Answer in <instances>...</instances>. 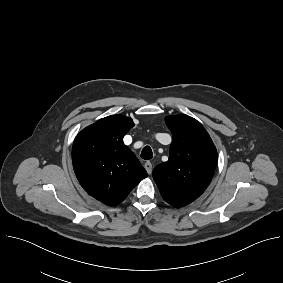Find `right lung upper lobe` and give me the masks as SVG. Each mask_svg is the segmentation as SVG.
<instances>
[{"label": "right lung upper lobe", "instance_id": "obj_1", "mask_svg": "<svg viewBox=\"0 0 283 283\" xmlns=\"http://www.w3.org/2000/svg\"><path fill=\"white\" fill-rule=\"evenodd\" d=\"M131 118L112 115L83 129L75 138L72 161L83 189L106 205L121 203L147 172L123 143Z\"/></svg>", "mask_w": 283, "mask_h": 283}]
</instances>
